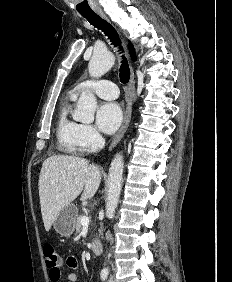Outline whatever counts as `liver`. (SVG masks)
I'll return each mask as SVG.
<instances>
[{"label":"liver","mask_w":232,"mask_h":282,"mask_svg":"<svg viewBox=\"0 0 232 282\" xmlns=\"http://www.w3.org/2000/svg\"><path fill=\"white\" fill-rule=\"evenodd\" d=\"M101 182L99 168L81 157L55 155L47 158L39 175V198L46 231L60 210L73 202L92 198Z\"/></svg>","instance_id":"1"}]
</instances>
